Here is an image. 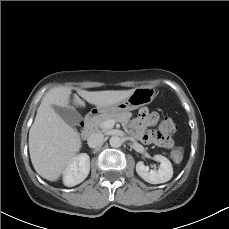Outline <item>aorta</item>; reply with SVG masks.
<instances>
[{"instance_id": "obj_1", "label": "aorta", "mask_w": 229, "mask_h": 229, "mask_svg": "<svg viewBox=\"0 0 229 229\" xmlns=\"http://www.w3.org/2000/svg\"><path fill=\"white\" fill-rule=\"evenodd\" d=\"M109 144L113 148H118L122 145V140L118 136H112L109 140Z\"/></svg>"}]
</instances>
